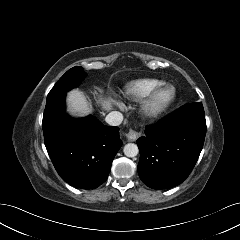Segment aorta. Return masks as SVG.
<instances>
[{"label": "aorta", "mask_w": 240, "mask_h": 240, "mask_svg": "<svg viewBox=\"0 0 240 240\" xmlns=\"http://www.w3.org/2000/svg\"><path fill=\"white\" fill-rule=\"evenodd\" d=\"M123 152L127 157L132 158L138 155L139 149L136 144L128 143L124 146Z\"/></svg>", "instance_id": "1"}]
</instances>
